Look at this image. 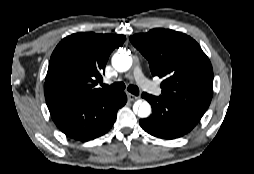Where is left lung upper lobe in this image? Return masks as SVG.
I'll return each instance as SVG.
<instances>
[{
  "label": "left lung upper lobe",
  "instance_id": "obj_1",
  "mask_svg": "<svg viewBox=\"0 0 254 174\" xmlns=\"http://www.w3.org/2000/svg\"><path fill=\"white\" fill-rule=\"evenodd\" d=\"M131 43L148 59L153 76L162 78L161 97L206 111L213 94V70L199 44L168 29L135 34Z\"/></svg>",
  "mask_w": 254,
  "mask_h": 174
}]
</instances>
